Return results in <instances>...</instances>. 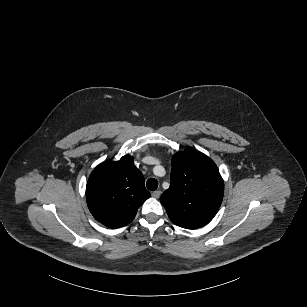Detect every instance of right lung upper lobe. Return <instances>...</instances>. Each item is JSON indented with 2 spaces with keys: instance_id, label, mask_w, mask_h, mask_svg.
<instances>
[{
  "instance_id": "cb5924a9",
  "label": "right lung upper lobe",
  "mask_w": 307,
  "mask_h": 307,
  "mask_svg": "<svg viewBox=\"0 0 307 307\" xmlns=\"http://www.w3.org/2000/svg\"><path fill=\"white\" fill-rule=\"evenodd\" d=\"M149 197L144 177L129 155L98 165L86 187L89 210L97 221L110 228L129 224Z\"/></svg>"
}]
</instances>
